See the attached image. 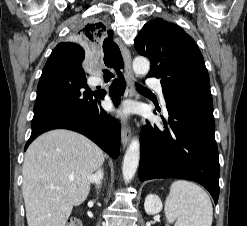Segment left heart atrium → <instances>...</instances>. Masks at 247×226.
Masks as SVG:
<instances>
[{
	"label": "left heart atrium",
	"instance_id": "obj_1",
	"mask_svg": "<svg viewBox=\"0 0 247 226\" xmlns=\"http://www.w3.org/2000/svg\"><path fill=\"white\" fill-rule=\"evenodd\" d=\"M113 111L119 116H125L128 113V108L126 106L118 109H113Z\"/></svg>",
	"mask_w": 247,
	"mask_h": 226
}]
</instances>
